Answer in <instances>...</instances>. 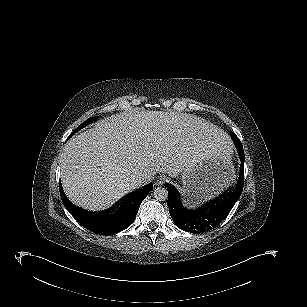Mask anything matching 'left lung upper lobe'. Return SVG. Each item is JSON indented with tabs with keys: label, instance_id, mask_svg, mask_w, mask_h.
<instances>
[{
	"label": "left lung upper lobe",
	"instance_id": "left-lung-upper-lobe-1",
	"mask_svg": "<svg viewBox=\"0 0 307 307\" xmlns=\"http://www.w3.org/2000/svg\"><path fill=\"white\" fill-rule=\"evenodd\" d=\"M230 135L237 147V150L243 149L242 144L240 140L238 139V137L233 132H230Z\"/></svg>",
	"mask_w": 307,
	"mask_h": 307
}]
</instances>
